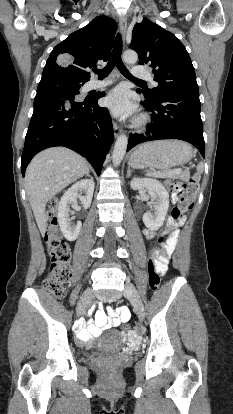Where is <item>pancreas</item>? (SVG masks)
I'll return each instance as SVG.
<instances>
[{"label": "pancreas", "mask_w": 233, "mask_h": 414, "mask_svg": "<svg viewBox=\"0 0 233 414\" xmlns=\"http://www.w3.org/2000/svg\"><path fill=\"white\" fill-rule=\"evenodd\" d=\"M189 172H178L175 173L173 171H159L156 174L151 173V176L154 177H170V178H181V179H187L189 177Z\"/></svg>", "instance_id": "pancreas-1"}]
</instances>
